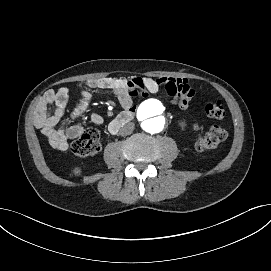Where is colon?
<instances>
[{
    "label": "colon",
    "instance_id": "obj_1",
    "mask_svg": "<svg viewBox=\"0 0 271 271\" xmlns=\"http://www.w3.org/2000/svg\"><path fill=\"white\" fill-rule=\"evenodd\" d=\"M206 114L213 120L224 117L225 109L221 101H211L206 106ZM228 129L222 125L212 127L206 134L199 137L195 142L198 150L214 149L226 140ZM72 152L81 157L94 155L100 150L99 134L94 129H87L71 143Z\"/></svg>",
    "mask_w": 271,
    "mask_h": 271
}]
</instances>
